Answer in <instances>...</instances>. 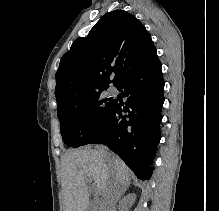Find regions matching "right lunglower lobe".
Instances as JSON below:
<instances>
[{
  "label": "right lung lower lobe",
  "instance_id": "obj_1",
  "mask_svg": "<svg viewBox=\"0 0 219 211\" xmlns=\"http://www.w3.org/2000/svg\"><path fill=\"white\" fill-rule=\"evenodd\" d=\"M115 87L124 89L123 97L127 100L125 103L115 100L107 118L90 132L85 145H107L138 178L149 179L160 140L164 103V80L158 57L131 71Z\"/></svg>",
  "mask_w": 219,
  "mask_h": 211
}]
</instances>
